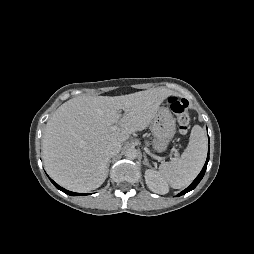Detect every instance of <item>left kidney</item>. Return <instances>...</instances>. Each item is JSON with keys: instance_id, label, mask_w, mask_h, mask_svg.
Returning <instances> with one entry per match:
<instances>
[{"instance_id": "5707ae66", "label": "left kidney", "mask_w": 254, "mask_h": 254, "mask_svg": "<svg viewBox=\"0 0 254 254\" xmlns=\"http://www.w3.org/2000/svg\"><path fill=\"white\" fill-rule=\"evenodd\" d=\"M145 182L148 188L158 194H166L169 191L168 185L159 172L148 169L145 171Z\"/></svg>"}]
</instances>
